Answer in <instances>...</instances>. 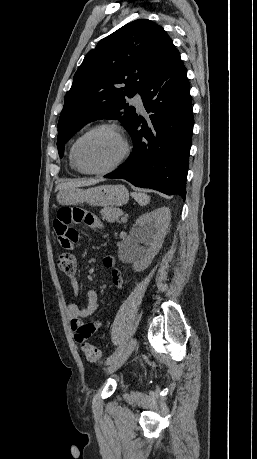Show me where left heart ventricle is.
<instances>
[{"instance_id": "left-heart-ventricle-1", "label": "left heart ventricle", "mask_w": 257, "mask_h": 459, "mask_svg": "<svg viewBox=\"0 0 257 459\" xmlns=\"http://www.w3.org/2000/svg\"><path fill=\"white\" fill-rule=\"evenodd\" d=\"M122 150V142L116 134L109 130H100L81 141L77 156L83 167L103 169L112 165Z\"/></svg>"}]
</instances>
